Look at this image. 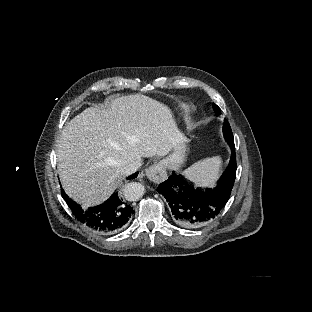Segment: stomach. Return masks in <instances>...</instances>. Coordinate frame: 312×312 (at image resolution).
Listing matches in <instances>:
<instances>
[{
    "mask_svg": "<svg viewBox=\"0 0 312 312\" xmlns=\"http://www.w3.org/2000/svg\"><path fill=\"white\" fill-rule=\"evenodd\" d=\"M189 139H187L184 134L181 135L180 141L177 146L173 149V152L169 154L166 158L160 161V165L164 169L178 170L186 160V151L188 150Z\"/></svg>",
    "mask_w": 312,
    "mask_h": 312,
    "instance_id": "stomach-1",
    "label": "stomach"
}]
</instances>
